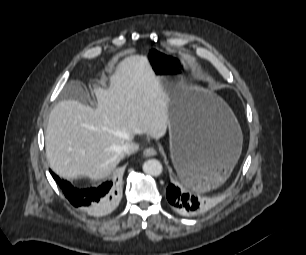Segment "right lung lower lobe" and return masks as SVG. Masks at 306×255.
Masks as SVG:
<instances>
[{"label":"right lung lower lobe","mask_w":306,"mask_h":255,"mask_svg":"<svg viewBox=\"0 0 306 255\" xmlns=\"http://www.w3.org/2000/svg\"><path fill=\"white\" fill-rule=\"evenodd\" d=\"M52 176L69 202L89 215H104L111 211L119 200L116 182L107 181L96 188L78 189L69 182L60 179L54 173H52Z\"/></svg>","instance_id":"obj_1"}]
</instances>
